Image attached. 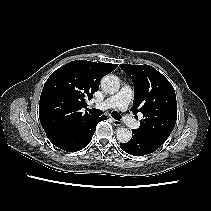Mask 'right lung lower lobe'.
Segmentation results:
<instances>
[{
	"label": "right lung lower lobe",
	"instance_id": "right-lung-lower-lobe-1",
	"mask_svg": "<svg viewBox=\"0 0 211 211\" xmlns=\"http://www.w3.org/2000/svg\"><path fill=\"white\" fill-rule=\"evenodd\" d=\"M105 119L106 116L94 117L80 125L64 141L55 146L67 152H76L83 149L90 143L97 124Z\"/></svg>",
	"mask_w": 211,
	"mask_h": 211
}]
</instances>
